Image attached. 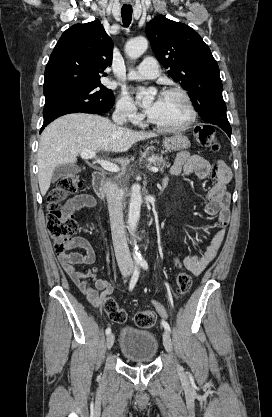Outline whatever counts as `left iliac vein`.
<instances>
[{
	"instance_id": "1",
	"label": "left iliac vein",
	"mask_w": 272,
	"mask_h": 417,
	"mask_svg": "<svg viewBox=\"0 0 272 417\" xmlns=\"http://www.w3.org/2000/svg\"><path fill=\"white\" fill-rule=\"evenodd\" d=\"M163 344H164L165 349L169 353L172 354L173 353L172 341H171L170 334L167 330H165L164 333H163Z\"/></svg>"
}]
</instances>
